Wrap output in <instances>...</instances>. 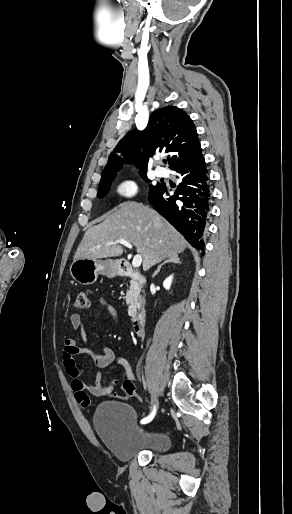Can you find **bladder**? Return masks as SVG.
Returning a JSON list of instances; mask_svg holds the SVG:
<instances>
[{"label": "bladder", "mask_w": 292, "mask_h": 514, "mask_svg": "<svg viewBox=\"0 0 292 514\" xmlns=\"http://www.w3.org/2000/svg\"><path fill=\"white\" fill-rule=\"evenodd\" d=\"M93 426L99 439L121 461L131 460L144 451L164 452L170 446L166 432L139 425L136 410L124 402L101 404L94 413Z\"/></svg>", "instance_id": "obj_1"}]
</instances>
